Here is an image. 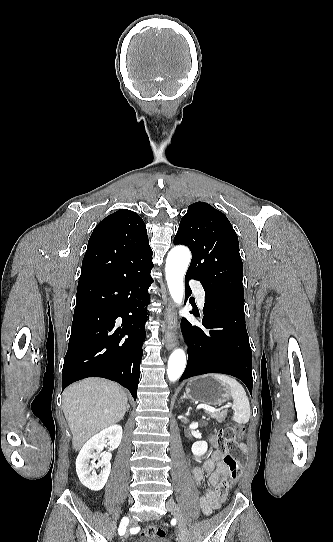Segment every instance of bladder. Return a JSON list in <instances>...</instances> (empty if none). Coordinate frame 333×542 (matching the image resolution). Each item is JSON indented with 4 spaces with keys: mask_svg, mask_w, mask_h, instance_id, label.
Instances as JSON below:
<instances>
[{
    "mask_svg": "<svg viewBox=\"0 0 333 542\" xmlns=\"http://www.w3.org/2000/svg\"><path fill=\"white\" fill-rule=\"evenodd\" d=\"M133 542H172L169 538L162 535H148Z\"/></svg>",
    "mask_w": 333,
    "mask_h": 542,
    "instance_id": "bladder-1",
    "label": "bladder"
}]
</instances>
